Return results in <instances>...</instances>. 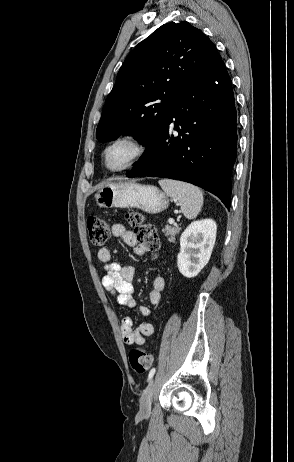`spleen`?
Segmentation results:
<instances>
[{"label":"spleen","mask_w":294,"mask_h":462,"mask_svg":"<svg viewBox=\"0 0 294 462\" xmlns=\"http://www.w3.org/2000/svg\"><path fill=\"white\" fill-rule=\"evenodd\" d=\"M159 185L168 196L179 202L186 218L193 219L199 214L204 199L198 187L170 179L159 180Z\"/></svg>","instance_id":"3e777b00"}]
</instances>
